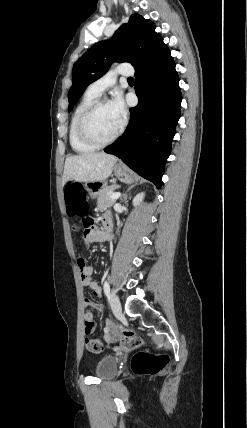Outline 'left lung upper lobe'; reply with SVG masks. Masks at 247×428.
I'll list each match as a JSON object with an SVG mask.
<instances>
[{"instance_id": "obj_1", "label": "left lung upper lobe", "mask_w": 247, "mask_h": 428, "mask_svg": "<svg viewBox=\"0 0 247 428\" xmlns=\"http://www.w3.org/2000/svg\"><path fill=\"white\" fill-rule=\"evenodd\" d=\"M166 48L161 35L155 32L154 23L133 14L110 40L96 43L74 64L68 111L87 86L103 76L113 62H129L137 69Z\"/></svg>"}]
</instances>
